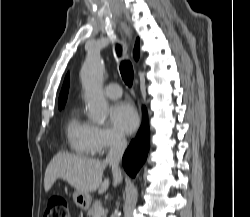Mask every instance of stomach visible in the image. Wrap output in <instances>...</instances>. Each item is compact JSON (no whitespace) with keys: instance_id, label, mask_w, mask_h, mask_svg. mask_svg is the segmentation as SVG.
<instances>
[{"instance_id":"1","label":"stomach","mask_w":250,"mask_h":217,"mask_svg":"<svg viewBox=\"0 0 250 217\" xmlns=\"http://www.w3.org/2000/svg\"><path fill=\"white\" fill-rule=\"evenodd\" d=\"M73 200L77 207L82 210H88L91 205L92 197L88 192L75 191L73 194Z\"/></svg>"}]
</instances>
